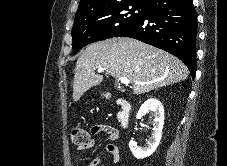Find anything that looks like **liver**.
Instances as JSON below:
<instances>
[{"label":"liver","instance_id":"obj_1","mask_svg":"<svg viewBox=\"0 0 227 166\" xmlns=\"http://www.w3.org/2000/svg\"><path fill=\"white\" fill-rule=\"evenodd\" d=\"M105 68L116 79L126 77L133 94L187 79L189 71L177 57L141 41L117 37L90 44L78 58L73 81V100L78 101L90 88L101 84L95 70Z\"/></svg>","mask_w":227,"mask_h":166}]
</instances>
